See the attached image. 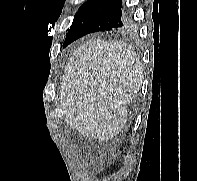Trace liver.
<instances>
[{
	"instance_id": "6515ba94",
	"label": "liver",
	"mask_w": 197,
	"mask_h": 181,
	"mask_svg": "<svg viewBox=\"0 0 197 181\" xmlns=\"http://www.w3.org/2000/svg\"><path fill=\"white\" fill-rule=\"evenodd\" d=\"M143 82L139 57L120 41L94 40L70 57L61 83L65 121L88 138L117 136Z\"/></svg>"
}]
</instances>
